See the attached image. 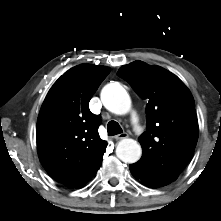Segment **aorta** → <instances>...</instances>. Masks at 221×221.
<instances>
[{"instance_id": "aorta-1", "label": "aorta", "mask_w": 221, "mask_h": 221, "mask_svg": "<svg viewBox=\"0 0 221 221\" xmlns=\"http://www.w3.org/2000/svg\"><path fill=\"white\" fill-rule=\"evenodd\" d=\"M101 101L106 109L117 115H124L131 109V99L126 89L119 83H109L101 91ZM117 157L125 163L137 162L141 146L133 139H123L116 147Z\"/></svg>"}]
</instances>
